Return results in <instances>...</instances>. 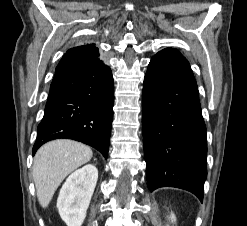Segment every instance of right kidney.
Listing matches in <instances>:
<instances>
[{
  "instance_id": "right-kidney-1",
  "label": "right kidney",
  "mask_w": 247,
  "mask_h": 226,
  "mask_svg": "<svg viewBox=\"0 0 247 226\" xmlns=\"http://www.w3.org/2000/svg\"><path fill=\"white\" fill-rule=\"evenodd\" d=\"M98 170L88 164L73 172L62 186L57 199V208L67 226H81L89 207Z\"/></svg>"
}]
</instances>
